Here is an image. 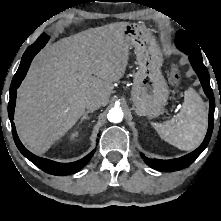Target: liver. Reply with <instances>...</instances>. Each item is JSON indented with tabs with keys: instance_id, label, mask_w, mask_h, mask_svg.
Returning a JSON list of instances; mask_svg holds the SVG:
<instances>
[{
	"instance_id": "1",
	"label": "liver",
	"mask_w": 221,
	"mask_h": 221,
	"mask_svg": "<svg viewBox=\"0 0 221 221\" xmlns=\"http://www.w3.org/2000/svg\"><path fill=\"white\" fill-rule=\"evenodd\" d=\"M127 22L91 28L60 39L33 60L18 89L15 125L21 141L45 153L84 114L96 97L106 106L113 82L128 64Z\"/></svg>"
}]
</instances>
